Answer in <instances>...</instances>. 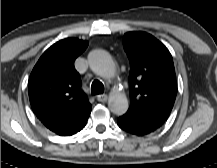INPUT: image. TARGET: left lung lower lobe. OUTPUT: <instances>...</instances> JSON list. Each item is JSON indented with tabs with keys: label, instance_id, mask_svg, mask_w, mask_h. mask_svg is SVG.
Masks as SVG:
<instances>
[{
	"label": "left lung lower lobe",
	"instance_id": "left-lung-lower-lobe-1",
	"mask_svg": "<svg viewBox=\"0 0 217 168\" xmlns=\"http://www.w3.org/2000/svg\"><path fill=\"white\" fill-rule=\"evenodd\" d=\"M117 124L124 131L131 133V134H134V135H137V136L147 135V134L157 130V129L152 128V127H147V126L133 123L132 121H130L129 119H127L123 116L118 118Z\"/></svg>",
	"mask_w": 217,
	"mask_h": 168
}]
</instances>
